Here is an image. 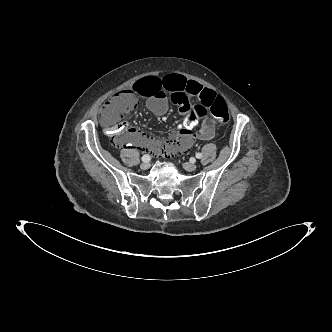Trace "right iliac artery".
Returning <instances> with one entry per match:
<instances>
[{
    "mask_svg": "<svg viewBox=\"0 0 332 332\" xmlns=\"http://www.w3.org/2000/svg\"><path fill=\"white\" fill-rule=\"evenodd\" d=\"M142 161H143V162H148V161H150V155H148V154L143 155V156H142Z\"/></svg>",
    "mask_w": 332,
    "mask_h": 332,
    "instance_id": "obj_1",
    "label": "right iliac artery"
}]
</instances>
